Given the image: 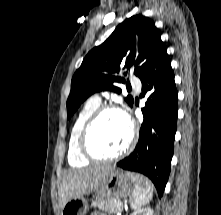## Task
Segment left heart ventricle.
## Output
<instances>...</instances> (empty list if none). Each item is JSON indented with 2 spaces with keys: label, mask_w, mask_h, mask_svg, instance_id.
Masks as SVG:
<instances>
[{
  "label": "left heart ventricle",
  "mask_w": 221,
  "mask_h": 215,
  "mask_svg": "<svg viewBox=\"0 0 221 215\" xmlns=\"http://www.w3.org/2000/svg\"><path fill=\"white\" fill-rule=\"evenodd\" d=\"M129 135L123 117L116 112H107L95 123L89 135V146L97 155L112 156L125 148Z\"/></svg>",
  "instance_id": "left-heart-ventricle-1"
}]
</instances>
